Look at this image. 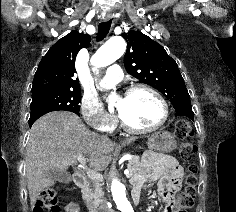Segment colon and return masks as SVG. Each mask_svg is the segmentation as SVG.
I'll return each mask as SVG.
<instances>
[{"label": "colon", "instance_id": "5ec220e1", "mask_svg": "<svg viewBox=\"0 0 236 212\" xmlns=\"http://www.w3.org/2000/svg\"><path fill=\"white\" fill-rule=\"evenodd\" d=\"M192 132V126L186 119H179L176 122L175 135L182 140L180 155L187 160L192 159L196 153L195 145L187 140L192 136ZM197 182V167L195 164H190L185 176L184 187L177 193L174 212H187L194 206ZM35 212H60L58 195L54 188H47L40 192Z\"/></svg>", "mask_w": 236, "mask_h": 212}]
</instances>
